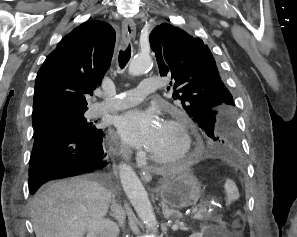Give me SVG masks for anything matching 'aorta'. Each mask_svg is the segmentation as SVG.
<instances>
[{"mask_svg": "<svg viewBox=\"0 0 297 237\" xmlns=\"http://www.w3.org/2000/svg\"><path fill=\"white\" fill-rule=\"evenodd\" d=\"M151 66L150 56L139 55L129 64L128 73L132 76H139ZM119 169L122 187L136 213L151 231L157 232L158 222L142 182L129 165L121 164Z\"/></svg>", "mask_w": 297, "mask_h": 237, "instance_id": "obj_1", "label": "aorta"}]
</instances>
